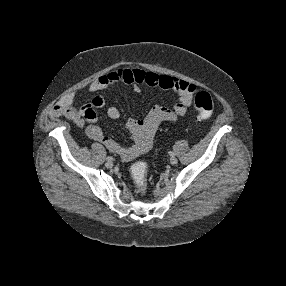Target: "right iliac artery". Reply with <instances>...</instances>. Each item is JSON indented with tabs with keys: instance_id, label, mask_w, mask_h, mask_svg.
<instances>
[{
	"instance_id": "obj_1",
	"label": "right iliac artery",
	"mask_w": 286,
	"mask_h": 286,
	"mask_svg": "<svg viewBox=\"0 0 286 286\" xmlns=\"http://www.w3.org/2000/svg\"><path fill=\"white\" fill-rule=\"evenodd\" d=\"M106 160H107V161H113V160H114V157L108 156V157L106 158Z\"/></svg>"
}]
</instances>
